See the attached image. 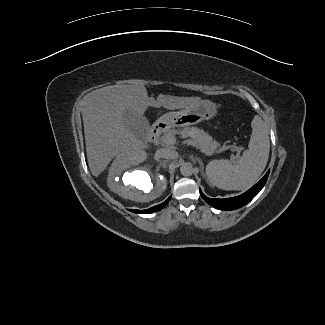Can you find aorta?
<instances>
[{"mask_svg": "<svg viewBox=\"0 0 325 325\" xmlns=\"http://www.w3.org/2000/svg\"><path fill=\"white\" fill-rule=\"evenodd\" d=\"M180 172L183 176H190L193 174V166L191 163H183L180 167Z\"/></svg>", "mask_w": 325, "mask_h": 325, "instance_id": "aorta-1", "label": "aorta"}]
</instances>
